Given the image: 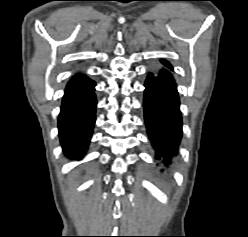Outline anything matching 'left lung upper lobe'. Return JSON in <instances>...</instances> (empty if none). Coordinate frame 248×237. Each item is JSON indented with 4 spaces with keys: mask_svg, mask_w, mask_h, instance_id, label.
Returning a JSON list of instances; mask_svg holds the SVG:
<instances>
[{
    "mask_svg": "<svg viewBox=\"0 0 248 237\" xmlns=\"http://www.w3.org/2000/svg\"><path fill=\"white\" fill-rule=\"evenodd\" d=\"M162 63H163L166 67H168V68H171V69H172V67H171V65H170V63H169V62H167V61H165V60H162Z\"/></svg>",
    "mask_w": 248,
    "mask_h": 237,
    "instance_id": "1",
    "label": "left lung upper lobe"
}]
</instances>
